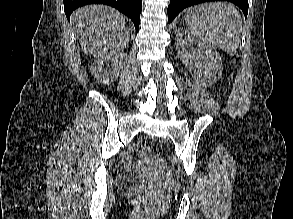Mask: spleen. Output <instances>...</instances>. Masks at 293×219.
I'll use <instances>...</instances> for the list:
<instances>
[{
  "instance_id": "1",
  "label": "spleen",
  "mask_w": 293,
  "mask_h": 219,
  "mask_svg": "<svg viewBox=\"0 0 293 219\" xmlns=\"http://www.w3.org/2000/svg\"><path fill=\"white\" fill-rule=\"evenodd\" d=\"M185 21L201 40L234 55L240 43L242 19L237 8L226 2H212L189 8Z\"/></svg>"
}]
</instances>
